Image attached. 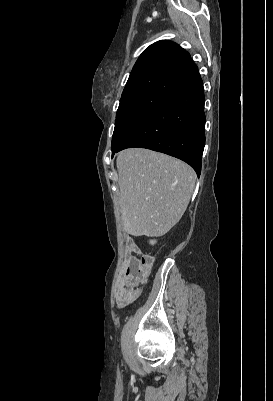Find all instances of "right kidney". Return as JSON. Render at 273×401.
Returning a JSON list of instances; mask_svg holds the SVG:
<instances>
[{
  "mask_svg": "<svg viewBox=\"0 0 273 401\" xmlns=\"http://www.w3.org/2000/svg\"><path fill=\"white\" fill-rule=\"evenodd\" d=\"M151 245H154V243H156V241H150Z\"/></svg>",
  "mask_w": 273,
  "mask_h": 401,
  "instance_id": "obj_1",
  "label": "right kidney"
}]
</instances>
